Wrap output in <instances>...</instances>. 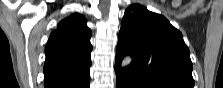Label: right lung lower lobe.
Segmentation results:
<instances>
[{"instance_id": "right-lung-lower-lobe-1", "label": "right lung lower lobe", "mask_w": 223, "mask_h": 88, "mask_svg": "<svg viewBox=\"0 0 223 88\" xmlns=\"http://www.w3.org/2000/svg\"><path fill=\"white\" fill-rule=\"evenodd\" d=\"M80 88H89V81L83 84Z\"/></svg>"}]
</instances>
